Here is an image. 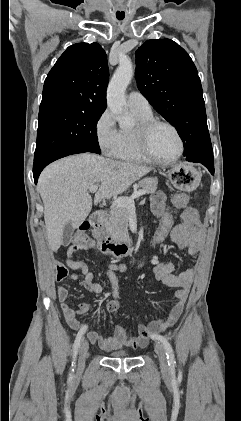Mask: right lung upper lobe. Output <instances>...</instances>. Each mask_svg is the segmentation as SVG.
<instances>
[{
  "mask_svg": "<svg viewBox=\"0 0 241 421\" xmlns=\"http://www.w3.org/2000/svg\"><path fill=\"white\" fill-rule=\"evenodd\" d=\"M108 82L107 55L98 43L69 46L45 79L40 111L104 112Z\"/></svg>",
  "mask_w": 241,
  "mask_h": 421,
  "instance_id": "1",
  "label": "right lung upper lobe"
}]
</instances>
